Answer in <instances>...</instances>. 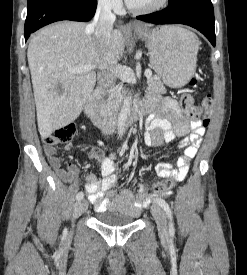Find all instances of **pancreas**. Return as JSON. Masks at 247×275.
Listing matches in <instances>:
<instances>
[{"instance_id": "obj_1", "label": "pancreas", "mask_w": 247, "mask_h": 275, "mask_svg": "<svg viewBox=\"0 0 247 275\" xmlns=\"http://www.w3.org/2000/svg\"><path fill=\"white\" fill-rule=\"evenodd\" d=\"M148 91L155 93H166V88L164 84L161 82L160 78L157 77H149L147 79ZM124 96V92L122 90V86L118 85L114 88L110 97L103 103L102 108L105 110H113L116 111L121 105L122 99Z\"/></svg>"}]
</instances>
